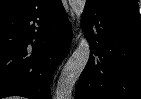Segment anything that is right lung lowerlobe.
<instances>
[{
    "instance_id": "obj_1",
    "label": "right lung lower lobe",
    "mask_w": 141,
    "mask_h": 99,
    "mask_svg": "<svg viewBox=\"0 0 141 99\" xmlns=\"http://www.w3.org/2000/svg\"><path fill=\"white\" fill-rule=\"evenodd\" d=\"M71 38L61 0L0 18V99H51V77Z\"/></svg>"
}]
</instances>
